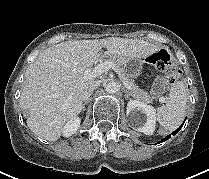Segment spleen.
Returning a JSON list of instances; mask_svg holds the SVG:
<instances>
[{
  "instance_id": "obj_1",
  "label": "spleen",
  "mask_w": 209,
  "mask_h": 179,
  "mask_svg": "<svg viewBox=\"0 0 209 179\" xmlns=\"http://www.w3.org/2000/svg\"><path fill=\"white\" fill-rule=\"evenodd\" d=\"M188 101L186 84L176 82L165 98V105L157 108L156 119L165 131L175 130L181 123Z\"/></svg>"
}]
</instances>
